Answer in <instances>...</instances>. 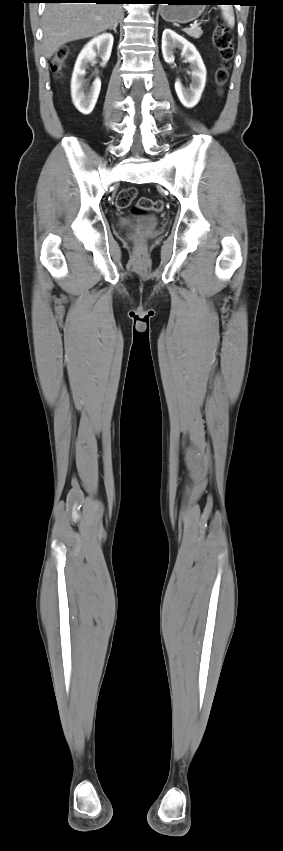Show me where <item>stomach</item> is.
Segmentation results:
<instances>
[{
    "mask_svg": "<svg viewBox=\"0 0 283 851\" xmlns=\"http://www.w3.org/2000/svg\"><path fill=\"white\" fill-rule=\"evenodd\" d=\"M206 0H170L159 8L161 17L169 22L188 23L204 11Z\"/></svg>",
    "mask_w": 283,
    "mask_h": 851,
    "instance_id": "0dacf381",
    "label": "stomach"
}]
</instances>
